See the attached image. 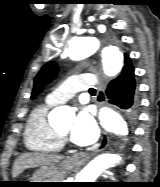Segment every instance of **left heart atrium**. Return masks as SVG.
I'll return each mask as SVG.
<instances>
[{"mask_svg":"<svg viewBox=\"0 0 160 187\" xmlns=\"http://www.w3.org/2000/svg\"><path fill=\"white\" fill-rule=\"evenodd\" d=\"M70 136L72 142L80 146L91 145L98 139V126L87 110L78 113Z\"/></svg>","mask_w":160,"mask_h":187,"instance_id":"1","label":"left heart atrium"}]
</instances>
